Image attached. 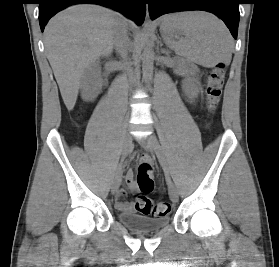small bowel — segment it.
Here are the masks:
<instances>
[{"label": "small bowel", "instance_id": "obj_1", "mask_svg": "<svg viewBox=\"0 0 279 267\" xmlns=\"http://www.w3.org/2000/svg\"><path fill=\"white\" fill-rule=\"evenodd\" d=\"M188 72L189 73H194L195 70L194 69H188ZM187 100L192 103L193 102V99L188 97ZM145 161H150V158L147 157L145 159ZM126 184H127V187L130 189V190H135L136 189V184L134 182V179H133V175L132 173H128L126 175ZM115 207L119 210V211H123V212H129V211H133L134 209V206L132 203H129V202H125L123 200H121V195L120 194H117L116 196V201H115Z\"/></svg>", "mask_w": 279, "mask_h": 267}]
</instances>
